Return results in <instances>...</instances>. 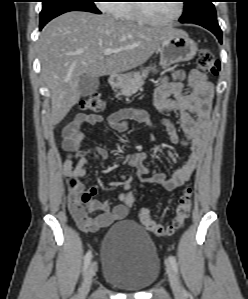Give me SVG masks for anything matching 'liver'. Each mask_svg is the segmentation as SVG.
<instances>
[{"label": "liver", "mask_w": 248, "mask_h": 299, "mask_svg": "<svg viewBox=\"0 0 248 299\" xmlns=\"http://www.w3.org/2000/svg\"><path fill=\"white\" fill-rule=\"evenodd\" d=\"M175 29L145 26L82 11L50 21L38 40L42 76L51 93L50 123L59 124L80 100L82 75H116L145 63ZM107 48L121 49L104 55Z\"/></svg>", "instance_id": "1"}]
</instances>
